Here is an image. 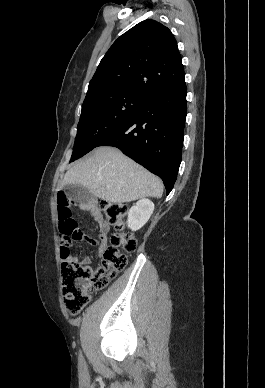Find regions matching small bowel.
<instances>
[{"instance_id": "obj_1", "label": "small bowel", "mask_w": 265, "mask_h": 388, "mask_svg": "<svg viewBox=\"0 0 265 388\" xmlns=\"http://www.w3.org/2000/svg\"><path fill=\"white\" fill-rule=\"evenodd\" d=\"M76 206L83 210L90 213L92 218L98 223L99 225V236L98 240H95L91 237L85 236L84 240L90 244H98V255L102 256L104 250L107 247V236L110 230L109 224L105 221L103 218V215L99 209V207L94 202H78ZM80 264L89 266L91 264V258L90 257H84Z\"/></svg>"}]
</instances>
